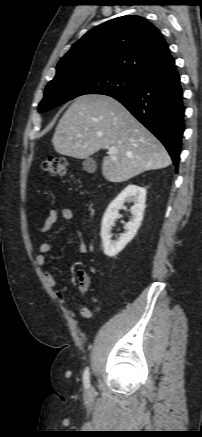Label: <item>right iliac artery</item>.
Segmentation results:
<instances>
[{"mask_svg":"<svg viewBox=\"0 0 202 437\" xmlns=\"http://www.w3.org/2000/svg\"><path fill=\"white\" fill-rule=\"evenodd\" d=\"M83 383L85 388H89L90 387V376H89V369L86 368L83 374Z\"/></svg>","mask_w":202,"mask_h":437,"instance_id":"1","label":"right iliac artery"}]
</instances>
